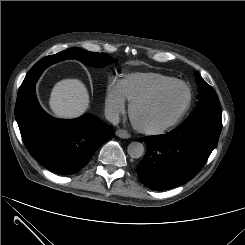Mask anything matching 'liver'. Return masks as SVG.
Here are the masks:
<instances>
[{
	"label": "liver",
	"instance_id": "obj_1",
	"mask_svg": "<svg viewBox=\"0 0 245 245\" xmlns=\"http://www.w3.org/2000/svg\"><path fill=\"white\" fill-rule=\"evenodd\" d=\"M49 105L55 116L72 119L81 116L89 107V94L79 79H63L51 92Z\"/></svg>",
	"mask_w": 245,
	"mask_h": 245
}]
</instances>
